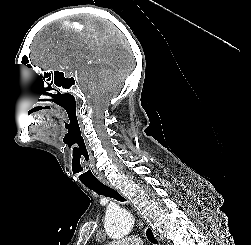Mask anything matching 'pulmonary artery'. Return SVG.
Instances as JSON below:
<instances>
[{
  "label": "pulmonary artery",
  "mask_w": 251,
  "mask_h": 245,
  "mask_svg": "<svg viewBox=\"0 0 251 245\" xmlns=\"http://www.w3.org/2000/svg\"><path fill=\"white\" fill-rule=\"evenodd\" d=\"M108 245H142L141 239L137 236H132L123 241H114Z\"/></svg>",
  "instance_id": "1"
}]
</instances>
